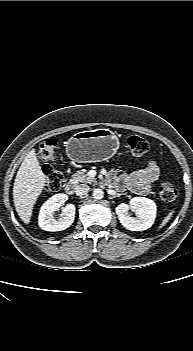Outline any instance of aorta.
Listing matches in <instances>:
<instances>
[{
  "label": "aorta",
  "mask_w": 193,
  "mask_h": 351,
  "mask_svg": "<svg viewBox=\"0 0 193 351\" xmlns=\"http://www.w3.org/2000/svg\"><path fill=\"white\" fill-rule=\"evenodd\" d=\"M92 196L94 199L100 200L104 197V192L102 189L97 188V189H94Z\"/></svg>",
  "instance_id": "762f6f07"
}]
</instances>
